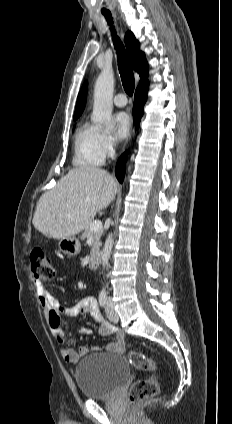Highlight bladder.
I'll return each instance as SVG.
<instances>
[{"mask_svg":"<svg viewBox=\"0 0 232 424\" xmlns=\"http://www.w3.org/2000/svg\"><path fill=\"white\" fill-rule=\"evenodd\" d=\"M130 376V365L124 357L102 353L86 356L75 370L79 392L87 399L111 397Z\"/></svg>","mask_w":232,"mask_h":424,"instance_id":"obj_1","label":"bladder"}]
</instances>
